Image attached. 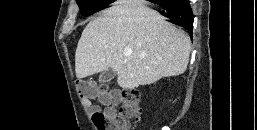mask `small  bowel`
I'll use <instances>...</instances> for the list:
<instances>
[{"label":"small bowel","instance_id":"c3829d8e","mask_svg":"<svg viewBox=\"0 0 257 130\" xmlns=\"http://www.w3.org/2000/svg\"><path fill=\"white\" fill-rule=\"evenodd\" d=\"M98 101L101 105L105 106L104 112L110 113L113 111V105L118 102V98L114 94L109 93H96L94 97H82V103L89 112L99 111V106L95 105L93 101Z\"/></svg>","mask_w":257,"mask_h":130}]
</instances>
